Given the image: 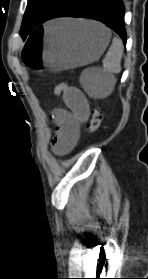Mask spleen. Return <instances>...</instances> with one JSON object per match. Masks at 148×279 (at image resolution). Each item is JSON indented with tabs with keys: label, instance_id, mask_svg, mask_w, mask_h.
<instances>
[{
	"label": "spleen",
	"instance_id": "3e777b00",
	"mask_svg": "<svg viewBox=\"0 0 148 279\" xmlns=\"http://www.w3.org/2000/svg\"><path fill=\"white\" fill-rule=\"evenodd\" d=\"M89 24H92V22H89ZM52 28H54V26ZM123 51L124 46L122 40L118 37H114L112 44L102 61L104 73L109 77V80H90L86 77L87 71L81 75L80 83L91 97L105 98L112 93L115 86L113 74L120 73L121 71Z\"/></svg>",
	"mask_w": 148,
	"mask_h": 279
}]
</instances>
